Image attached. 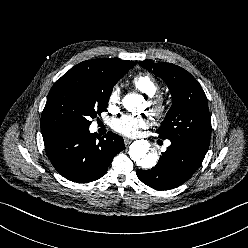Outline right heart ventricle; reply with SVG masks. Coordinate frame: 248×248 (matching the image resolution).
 <instances>
[{"label":"right heart ventricle","instance_id":"obj_1","mask_svg":"<svg viewBox=\"0 0 248 248\" xmlns=\"http://www.w3.org/2000/svg\"><path fill=\"white\" fill-rule=\"evenodd\" d=\"M132 84L141 93L152 97L159 90L157 80L148 73H140L133 77Z\"/></svg>","mask_w":248,"mask_h":248}]
</instances>
